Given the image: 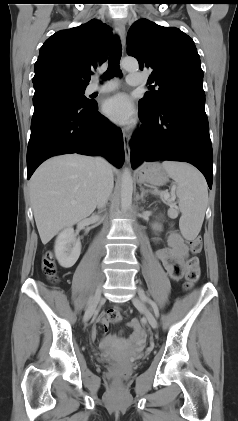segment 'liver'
Returning a JSON list of instances; mask_svg holds the SVG:
<instances>
[{
	"label": "liver",
	"mask_w": 238,
	"mask_h": 421,
	"mask_svg": "<svg viewBox=\"0 0 238 421\" xmlns=\"http://www.w3.org/2000/svg\"><path fill=\"white\" fill-rule=\"evenodd\" d=\"M112 173L115 168L111 166ZM30 198L42 243L90 216L97 205L95 159L79 154L45 161L30 180Z\"/></svg>",
	"instance_id": "liver-1"
}]
</instances>
